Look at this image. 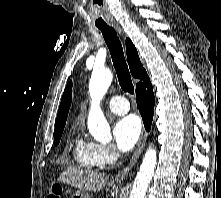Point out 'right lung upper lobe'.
<instances>
[{
	"label": "right lung upper lobe",
	"mask_w": 221,
	"mask_h": 198,
	"mask_svg": "<svg viewBox=\"0 0 221 198\" xmlns=\"http://www.w3.org/2000/svg\"><path fill=\"white\" fill-rule=\"evenodd\" d=\"M126 52H127V61H128L132 76L134 78L140 79V82L136 84V87H137L140 84H142V82L149 79V77L141 64L137 50L134 47L130 39H126ZM71 91H72V82L70 81L64 90L61 104L59 106L58 116H57L56 125H55V132L64 129V126L66 124L68 111H69L70 104L72 101Z\"/></svg>",
	"instance_id": "cb5924a9"
}]
</instances>
